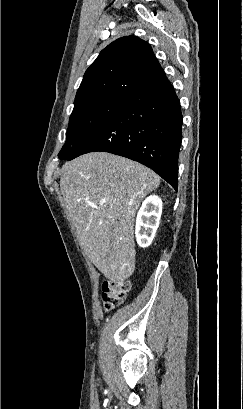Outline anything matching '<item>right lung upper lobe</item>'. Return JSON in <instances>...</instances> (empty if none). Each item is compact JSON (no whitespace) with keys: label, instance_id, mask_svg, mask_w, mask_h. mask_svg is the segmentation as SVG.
<instances>
[{"label":"right lung upper lobe","instance_id":"obj_1","mask_svg":"<svg viewBox=\"0 0 243 409\" xmlns=\"http://www.w3.org/2000/svg\"><path fill=\"white\" fill-rule=\"evenodd\" d=\"M165 77L150 45L136 36L119 38L103 49L84 74L75 104L103 99H126Z\"/></svg>","mask_w":243,"mask_h":409}]
</instances>
